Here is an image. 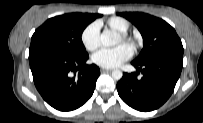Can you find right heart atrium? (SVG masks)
<instances>
[{"label":"right heart atrium","instance_id":"d8ad5b80","mask_svg":"<svg viewBox=\"0 0 203 123\" xmlns=\"http://www.w3.org/2000/svg\"><path fill=\"white\" fill-rule=\"evenodd\" d=\"M84 47L89 51H94L100 45V23L98 21L89 24L81 35Z\"/></svg>","mask_w":203,"mask_h":123}]
</instances>
